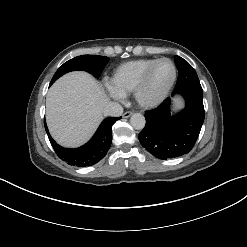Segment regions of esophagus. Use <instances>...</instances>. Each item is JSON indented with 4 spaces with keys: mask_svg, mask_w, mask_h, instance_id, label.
Wrapping results in <instances>:
<instances>
[{
    "mask_svg": "<svg viewBox=\"0 0 247 247\" xmlns=\"http://www.w3.org/2000/svg\"><path fill=\"white\" fill-rule=\"evenodd\" d=\"M132 114H133L132 111H126V112L123 114V117H124V118H129Z\"/></svg>",
    "mask_w": 247,
    "mask_h": 247,
    "instance_id": "esophagus-1",
    "label": "esophagus"
}]
</instances>
